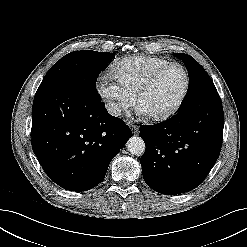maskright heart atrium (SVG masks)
<instances>
[{
  "label": "right heart atrium",
  "instance_id": "1",
  "mask_svg": "<svg viewBox=\"0 0 247 247\" xmlns=\"http://www.w3.org/2000/svg\"><path fill=\"white\" fill-rule=\"evenodd\" d=\"M97 92L112 116L120 117L133 104V98L111 75L105 74L99 77Z\"/></svg>",
  "mask_w": 247,
  "mask_h": 247
}]
</instances>
